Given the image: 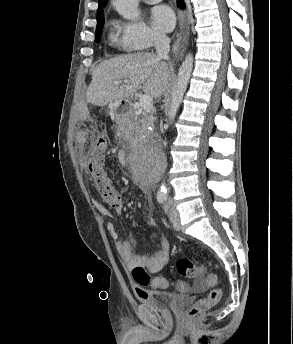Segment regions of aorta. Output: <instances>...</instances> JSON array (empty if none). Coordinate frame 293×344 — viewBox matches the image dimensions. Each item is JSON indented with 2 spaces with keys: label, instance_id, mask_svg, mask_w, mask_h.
Returning a JSON list of instances; mask_svg holds the SVG:
<instances>
[{
  "label": "aorta",
  "instance_id": "762f6f07",
  "mask_svg": "<svg viewBox=\"0 0 293 344\" xmlns=\"http://www.w3.org/2000/svg\"><path fill=\"white\" fill-rule=\"evenodd\" d=\"M139 0H114L113 4L117 12L127 20L134 21L139 17L138 11ZM193 70V55L188 53L182 62L177 75V81L173 87L171 94V104L168 111V120L171 123L182 103L184 93L187 89L191 73ZM160 195L167 194V188L162 185L158 192Z\"/></svg>",
  "mask_w": 293,
  "mask_h": 344
}]
</instances>
